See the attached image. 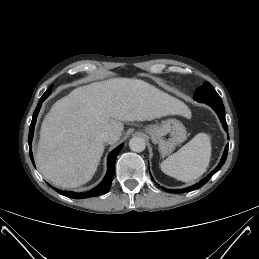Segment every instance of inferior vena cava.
I'll return each instance as SVG.
<instances>
[{
  "label": "inferior vena cava",
  "mask_w": 259,
  "mask_h": 259,
  "mask_svg": "<svg viewBox=\"0 0 259 259\" xmlns=\"http://www.w3.org/2000/svg\"><path fill=\"white\" fill-rule=\"evenodd\" d=\"M98 140L102 142H108L110 138L109 132H102L101 134L98 135Z\"/></svg>",
  "instance_id": "1"
}]
</instances>
